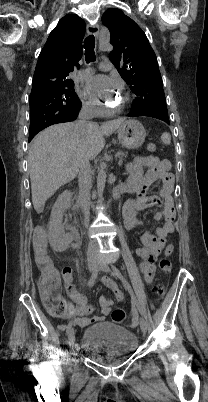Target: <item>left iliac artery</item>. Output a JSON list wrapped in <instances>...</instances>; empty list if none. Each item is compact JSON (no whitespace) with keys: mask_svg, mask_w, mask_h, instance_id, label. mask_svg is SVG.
Instances as JSON below:
<instances>
[{"mask_svg":"<svg viewBox=\"0 0 208 402\" xmlns=\"http://www.w3.org/2000/svg\"><path fill=\"white\" fill-rule=\"evenodd\" d=\"M111 267H112V269H113L115 275L123 282V285H124L125 289L128 290V292L130 293L132 303H133L134 305H136V307H137V309L139 310L140 314L143 315V312H142L141 308H140L139 305H138L137 299H136V297H135V295H134V292H133V290H132V288H131L129 282L127 281V279H125V278L123 277L122 273L120 272V270H119L115 265H111Z\"/></svg>","mask_w":208,"mask_h":402,"instance_id":"left-iliac-artery-1","label":"left iliac artery"}]
</instances>
